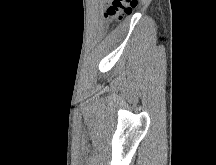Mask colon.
<instances>
[{
  "mask_svg": "<svg viewBox=\"0 0 216 165\" xmlns=\"http://www.w3.org/2000/svg\"><path fill=\"white\" fill-rule=\"evenodd\" d=\"M138 5L139 0H112L104 17L110 20H122L125 16L131 15Z\"/></svg>",
  "mask_w": 216,
  "mask_h": 165,
  "instance_id": "colon-1",
  "label": "colon"
}]
</instances>
